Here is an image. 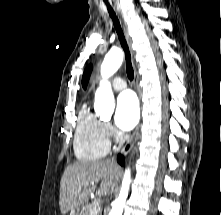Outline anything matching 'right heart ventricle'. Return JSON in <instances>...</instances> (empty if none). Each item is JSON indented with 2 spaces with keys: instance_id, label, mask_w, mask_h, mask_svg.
I'll list each match as a JSON object with an SVG mask.
<instances>
[{
  "instance_id": "right-heart-ventricle-1",
  "label": "right heart ventricle",
  "mask_w": 221,
  "mask_h": 215,
  "mask_svg": "<svg viewBox=\"0 0 221 215\" xmlns=\"http://www.w3.org/2000/svg\"><path fill=\"white\" fill-rule=\"evenodd\" d=\"M103 122L84 104L77 118L73 149L77 159L93 161L103 158L109 149L103 134Z\"/></svg>"
}]
</instances>
